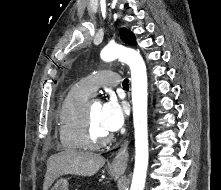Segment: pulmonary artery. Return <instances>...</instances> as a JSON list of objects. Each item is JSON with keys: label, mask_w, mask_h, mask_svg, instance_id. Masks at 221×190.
I'll list each match as a JSON object with an SVG mask.
<instances>
[{"label": "pulmonary artery", "mask_w": 221, "mask_h": 190, "mask_svg": "<svg viewBox=\"0 0 221 190\" xmlns=\"http://www.w3.org/2000/svg\"><path fill=\"white\" fill-rule=\"evenodd\" d=\"M122 83L121 76L110 70L97 71L80 80L79 84L91 95L101 86H117Z\"/></svg>", "instance_id": "1"}]
</instances>
